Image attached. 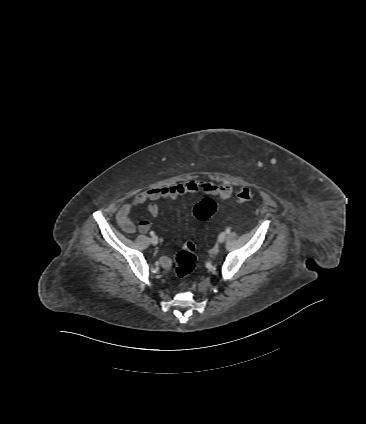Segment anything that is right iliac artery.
I'll return each instance as SVG.
<instances>
[{
	"label": "right iliac artery",
	"mask_w": 366,
	"mask_h": 424,
	"mask_svg": "<svg viewBox=\"0 0 366 424\" xmlns=\"http://www.w3.org/2000/svg\"><path fill=\"white\" fill-rule=\"evenodd\" d=\"M154 234H155V233H154L153 231H151V232H150V235H151V236H154Z\"/></svg>",
	"instance_id": "1"
}]
</instances>
